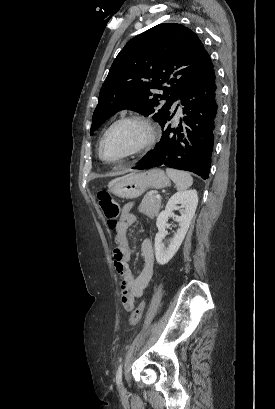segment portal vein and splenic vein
Masks as SVG:
<instances>
[{
	"mask_svg": "<svg viewBox=\"0 0 275 409\" xmlns=\"http://www.w3.org/2000/svg\"><path fill=\"white\" fill-rule=\"evenodd\" d=\"M156 198H161L160 194H157Z\"/></svg>",
	"mask_w": 275,
	"mask_h": 409,
	"instance_id": "18ae733b",
	"label": "portal vein and splenic vein"
}]
</instances>
